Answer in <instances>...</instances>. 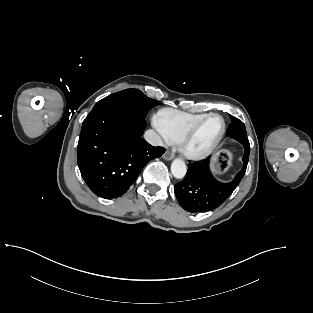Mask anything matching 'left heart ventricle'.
Segmentation results:
<instances>
[{"mask_svg": "<svg viewBox=\"0 0 313 313\" xmlns=\"http://www.w3.org/2000/svg\"><path fill=\"white\" fill-rule=\"evenodd\" d=\"M222 130V121L218 117L206 120L194 134L190 142V148L194 151H203L209 148L219 136Z\"/></svg>", "mask_w": 313, "mask_h": 313, "instance_id": "1", "label": "left heart ventricle"}]
</instances>
